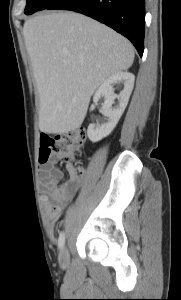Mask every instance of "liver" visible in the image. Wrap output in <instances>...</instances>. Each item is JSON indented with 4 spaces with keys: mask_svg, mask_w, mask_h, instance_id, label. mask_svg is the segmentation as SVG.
<instances>
[{
    "mask_svg": "<svg viewBox=\"0 0 181 300\" xmlns=\"http://www.w3.org/2000/svg\"><path fill=\"white\" fill-rule=\"evenodd\" d=\"M23 35L40 97L39 129L49 134L78 129L95 90L134 60L125 37L80 13L39 14Z\"/></svg>",
    "mask_w": 181,
    "mask_h": 300,
    "instance_id": "1",
    "label": "liver"
}]
</instances>
